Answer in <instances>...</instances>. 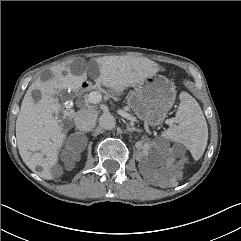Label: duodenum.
I'll return each instance as SVG.
<instances>
[{
    "label": "duodenum",
    "mask_w": 241,
    "mask_h": 241,
    "mask_svg": "<svg viewBox=\"0 0 241 241\" xmlns=\"http://www.w3.org/2000/svg\"><path fill=\"white\" fill-rule=\"evenodd\" d=\"M87 87H88V84L85 83V82L79 84V88H80V89H84V88H87Z\"/></svg>",
    "instance_id": "obj_1"
}]
</instances>
